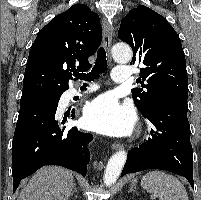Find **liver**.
<instances>
[{"label": "liver", "instance_id": "6515ba94", "mask_svg": "<svg viewBox=\"0 0 201 200\" xmlns=\"http://www.w3.org/2000/svg\"><path fill=\"white\" fill-rule=\"evenodd\" d=\"M74 186V177L70 171L47 166L32 176L18 200H68Z\"/></svg>", "mask_w": 201, "mask_h": 200}]
</instances>
